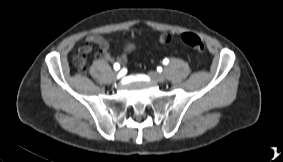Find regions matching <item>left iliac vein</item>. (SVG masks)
Masks as SVG:
<instances>
[{
  "label": "left iliac vein",
  "mask_w": 283,
  "mask_h": 162,
  "mask_svg": "<svg viewBox=\"0 0 283 162\" xmlns=\"http://www.w3.org/2000/svg\"><path fill=\"white\" fill-rule=\"evenodd\" d=\"M148 75L151 79H153L154 81H156L158 83H163L165 81L164 75H162L158 72L150 71V72H148Z\"/></svg>",
  "instance_id": "1"
}]
</instances>
